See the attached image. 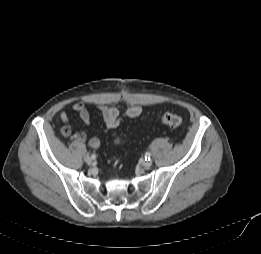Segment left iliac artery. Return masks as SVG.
Instances as JSON below:
<instances>
[{
  "label": "left iliac artery",
  "mask_w": 261,
  "mask_h": 254,
  "mask_svg": "<svg viewBox=\"0 0 261 254\" xmlns=\"http://www.w3.org/2000/svg\"><path fill=\"white\" fill-rule=\"evenodd\" d=\"M145 160L147 161H150L151 160V154L149 152H146L145 154Z\"/></svg>",
  "instance_id": "1"
}]
</instances>
